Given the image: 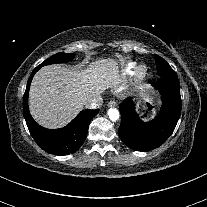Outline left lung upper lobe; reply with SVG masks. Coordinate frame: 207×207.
I'll list each match as a JSON object with an SVG mask.
<instances>
[{"mask_svg": "<svg viewBox=\"0 0 207 207\" xmlns=\"http://www.w3.org/2000/svg\"><path fill=\"white\" fill-rule=\"evenodd\" d=\"M155 61L159 76L175 73L170 65L160 56L155 55Z\"/></svg>", "mask_w": 207, "mask_h": 207, "instance_id": "1", "label": "left lung upper lobe"}]
</instances>
